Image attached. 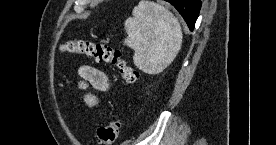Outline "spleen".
I'll list each match as a JSON object with an SVG mask.
<instances>
[{
	"label": "spleen",
	"instance_id": "1",
	"mask_svg": "<svg viewBox=\"0 0 276 145\" xmlns=\"http://www.w3.org/2000/svg\"><path fill=\"white\" fill-rule=\"evenodd\" d=\"M132 15L124 24V44L134 50L137 68L148 74L161 73L181 49L180 23L168 9L148 0H141Z\"/></svg>",
	"mask_w": 276,
	"mask_h": 145
}]
</instances>
